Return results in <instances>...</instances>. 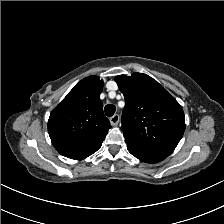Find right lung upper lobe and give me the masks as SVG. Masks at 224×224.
<instances>
[{
	"mask_svg": "<svg viewBox=\"0 0 224 224\" xmlns=\"http://www.w3.org/2000/svg\"><path fill=\"white\" fill-rule=\"evenodd\" d=\"M103 84L98 76H89L76 84L50 114L48 133L51 140H71L88 154L101 147L111 128L100 100Z\"/></svg>",
	"mask_w": 224,
	"mask_h": 224,
	"instance_id": "1",
	"label": "right lung upper lobe"
}]
</instances>
